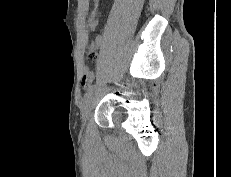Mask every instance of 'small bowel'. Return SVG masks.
<instances>
[{
    "mask_svg": "<svg viewBox=\"0 0 231 177\" xmlns=\"http://www.w3.org/2000/svg\"><path fill=\"white\" fill-rule=\"evenodd\" d=\"M94 1V10L92 11L89 21H88V27L91 31H95L98 26V20H97V10L99 6V0H93ZM94 45L97 48H101L103 45V38L101 36H96L94 39ZM94 78V73L91 70H85L82 78V82L85 86L89 85Z\"/></svg>",
    "mask_w": 231,
    "mask_h": 177,
    "instance_id": "1",
    "label": "small bowel"
}]
</instances>
